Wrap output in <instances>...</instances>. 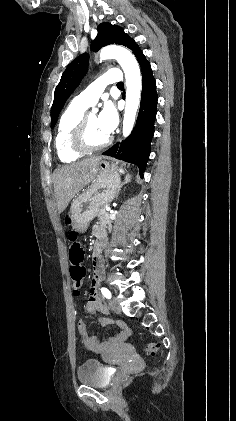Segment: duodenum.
<instances>
[{"label":"duodenum","instance_id":"duodenum-1","mask_svg":"<svg viewBox=\"0 0 236 421\" xmlns=\"http://www.w3.org/2000/svg\"><path fill=\"white\" fill-rule=\"evenodd\" d=\"M95 236L97 237V242L95 245V256H94V273L95 278L97 281H100L103 276V260L100 256V251L106 246L107 244V235L104 228H100L95 232ZM96 309H99V307H95ZM81 333L84 337V340L87 344L93 345V342L87 337L85 328L81 329ZM119 339V338H118ZM109 343L102 344L100 346H107Z\"/></svg>","mask_w":236,"mask_h":421}]
</instances>
